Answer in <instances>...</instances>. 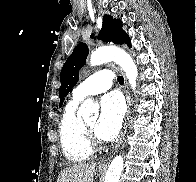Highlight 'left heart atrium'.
<instances>
[{
	"label": "left heart atrium",
	"mask_w": 196,
	"mask_h": 182,
	"mask_svg": "<svg viewBox=\"0 0 196 182\" xmlns=\"http://www.w3.org/2000/svg\"><path fill=\"white\" fill-rule=\"evenodd\" d=\"M125 114L123 99L117 93H109L101 99V113L95 126L96 135L105 141L119 133Z\"/></svg>",
	"instance_id": "1"
}]
</instances>
